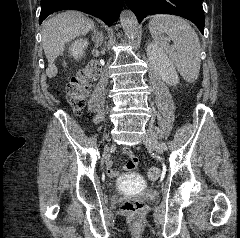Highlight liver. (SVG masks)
<instances>
[{"label":"liver","instance_id":"6515ba94","mask_svg":"<svg viewBox=\"0 0 240 238\" xmlns=\"http://www.w3.org/2000/svg\"><path fill=\"white\" fill-rule=\"evenodd\" d=\"M93 28L94 22L76 11L58 14L43 23L42 44L48 60L46 74L49 78L58 73L54 61L63 54L65 44L76 36L87 34Z\"/></svg>","mask_w":240,"mask_h":238}]
</instances>
